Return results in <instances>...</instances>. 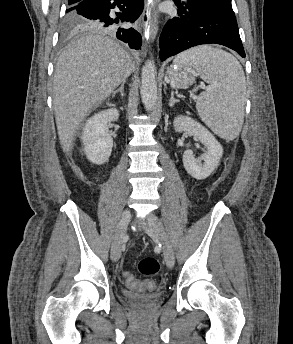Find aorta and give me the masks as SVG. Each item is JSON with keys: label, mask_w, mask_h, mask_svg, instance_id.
<instances>
[{"label": "aorta", "mask_w": 293, "mask_h": 344, "mask_svg": "<svg viewBox=\"0 0 293 344\" xmlns=\"http://www.w3.org/2000/svg\"><path fill=\"white\" fill-rule=\"evenodd\" d=\"M140 93L147 111H152L157 101L156 66L153 60H147L142 68Z\"/></svg>", "instance_id": "762f6f07"}]
</instances>
